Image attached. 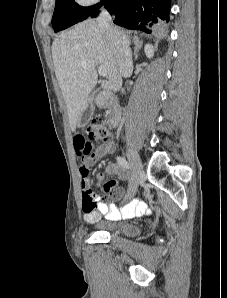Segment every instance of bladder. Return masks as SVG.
<instances>
[{
    "mask_svg": "<svg viewBox=\"0 0 227 298\" xmlns=\"http://www.w3.org/2000/svg\"><path fill=\"white\" fill-rule=\"evenodd\" d=\"M97 231L107 232L122 237L133 238L141 233L139 226L122 221L98 220L93 224Z\"/></svg>",
    "mask_w": 227,
    "mask_h": 298,
    "instance_id": "1",
    "label": "bladder"
}]
</instances>
